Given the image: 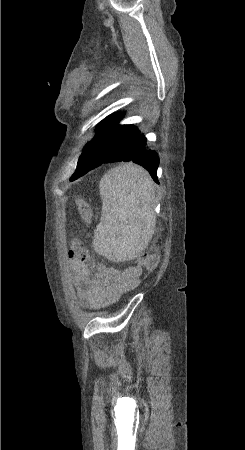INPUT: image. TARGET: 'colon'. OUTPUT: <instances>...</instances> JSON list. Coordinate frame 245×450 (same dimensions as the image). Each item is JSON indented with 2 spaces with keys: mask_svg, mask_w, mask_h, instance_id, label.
Here are the masks:
<instances>
[{
  "mask_svg": "<svg viewBox=\"0 0 245 450\" xmlns=\"http://www.w3.org/2000/svg\"><path fill=\"white\" fill-rule=\"evenodd\" d=\"M76 207L81 216V218L86 222L90 223L94 217V208L84 199L76 200ZM70 249L76 260L80 262H89L91 256L89 251L83 245V243L78 239L74 238L71 241ZM137 265L144 270H153L158 263V251L156 247H150L142 251L137 259Z\"/></svg>",
  "mask_w": 245,
  "mask_h": 450,
  "instance_id": "obj_1",
  "label": "colon"
}]
</instances>
